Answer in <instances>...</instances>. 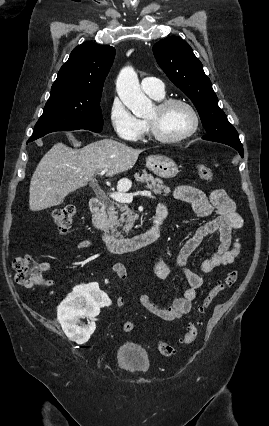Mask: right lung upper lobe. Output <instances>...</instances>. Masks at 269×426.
<instances>
[{
	"label": "right lung upper lobe",
	"instance_id": "cb5924a9",
	"mask_svg": "<svg viewBox=\"0 0 269 426\" xmlns=\"http://www.w3.org/2000/svg\"><path fill=\"white\" fill-rule=\"evenodd\" d=\"M115 49L109 45L84 42L75 47L59 70L51 94L101 95L104 80L112 66Z\"/></svg>",
	"mask_w": 269,
	"mask_h": 426
}]
</instances>
